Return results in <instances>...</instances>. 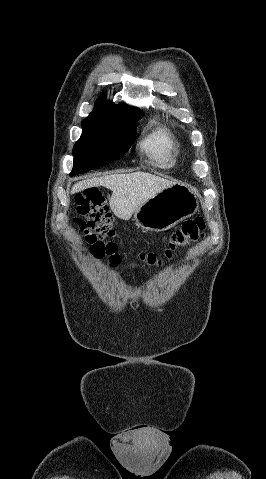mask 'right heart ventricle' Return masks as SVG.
<instances>
[{
    "mask_svg": "<svg viewBox=\"0 0 266 479\" xmlns=\"http://www.w3.org/2000/svg\"><path fill=\"white\" fill-rule=\"evenodd\" d=\"M142 148L156 165L166 168L174 164L176 143L168 131L164 129L155 130L142 142Z\"/></svg>",
    "mask_w": 266,
    "mask_h": 479,
    "instance_id": "right-heart-ventricle-1",
    "label": "right heart ventricle"
}]
</instances>
